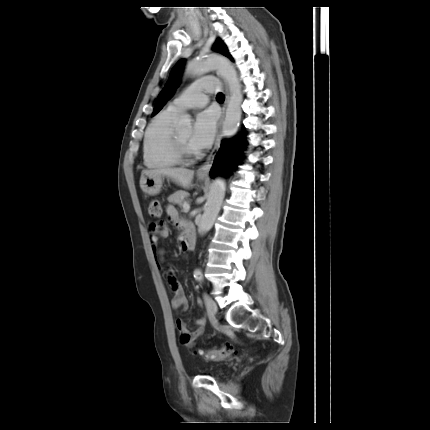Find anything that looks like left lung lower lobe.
Masks as SVG:
<instances>
[{"label": "left lung lower lobe", "mask_w": 430, "mask_h": 430, "mask_svg": "<svg viewBox=\"0 0 430 430\" xmlns=\"http://www.w3.org/2000/svg\"><path fill=\"white\" fill-rule=\"evenodd\" d=\"M244 135L239 141H223L215 157L214 164L211 168V177L218 173H225L230 170L234 164H237L241 151L243 150Z\"/></svg>", "instance_id": "left-lung-lower-lobe-1"}]
</instances>
